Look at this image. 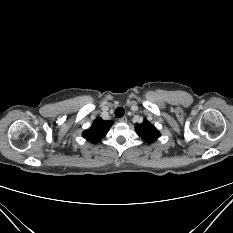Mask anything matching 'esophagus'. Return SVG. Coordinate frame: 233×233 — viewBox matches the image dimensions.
<instances>
[{
  "instance_id": "obj_1",
  "label": "esophagus",
  "mask_w": 233,
  "mask_h": 233,
  "mask_svg": "<svg viewBox=\"0 0 233 233\" xmlns=\"http://www.w3.org/2000/svg\"><path fill=\"white\" fill-rule=\"evenodd\" d=\"M119 122L120 123H126L127 122V117L123 116V117L119 118Z\"/></svg>"
}]
</instances>
